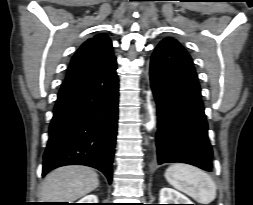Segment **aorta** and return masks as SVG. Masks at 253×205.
Listing matches in <instances>:
<instances>
[{"mask_svg": "<svg viewBox=\"0 0 253 205\" xmlns=\"http://www.w3.org/2000/svg\"><path fill=\"white\" fill-rule=\"evenodd\" d=\"M146 127H147V129H151V125L150 124H147Z\"/></svg>", "mask_w": 253, "mask_h": 205, "instance_id": "aorta-1", "label": "aorta"}]
</instances>
